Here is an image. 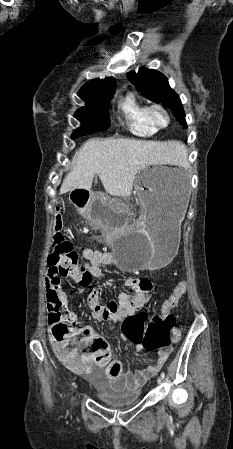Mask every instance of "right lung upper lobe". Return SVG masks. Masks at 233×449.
Here are the masks:
<instances>
[{
	"mask_svg": "<svg viewBox=\"0 0 233 449\" xmlns=\"http://www.w3.org/2000/svg\"><path fill=\"white\" fill-rule=\"evenodd\" d=\"M116 82L114 78L93 79L84 84L78 96L84 100L94 97H104L114 94Z\"/></svg>",
	"mask_w": 233,
	"mask_h": 449,
	"instance_id": "1",
	"label": "right lung upper lobe"
}]
</instances>
